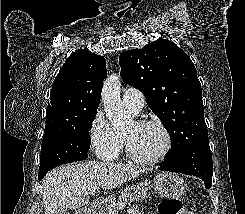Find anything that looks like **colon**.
I'll list each match as a JSON object with an SVG mask.
<instances>
[{"mask_svg": "<svg viewBox=\"0 0 245 214\" xmlns=\"http://www.w3.org/2000/svg\"><path fill=\"white\" fill-rule=\"evenodd\" d=\"M159 214H194L191 210L182 208V203L178 199H167L162 201L158 207Z\"/></svg>", "mask_w": 245, "mask_h": 214, "instance_id": "1", "label": "colon"}]
</instances>
